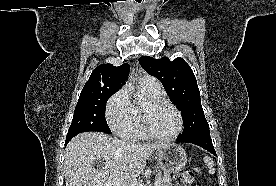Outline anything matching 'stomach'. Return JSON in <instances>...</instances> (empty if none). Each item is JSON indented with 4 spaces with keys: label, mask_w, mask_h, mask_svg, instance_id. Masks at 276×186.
<instances>
[{
    "label": "stomach",
    "mask_w": 276,
    "mask_h": 186,
    "mask_svg": "<svg viewBox=\"0 0 276 186\" xmlns=\"http://www.w3.org/2000/svg\"><path fill=\"white\" fill-rule=\"evenodd\" d=\"M158 165L164 171L177 173L187 164L185 150L178 144L169 143L164 148L156 152Z\"/></svg>",
    "instance_id": "1"
}]
</instances>
